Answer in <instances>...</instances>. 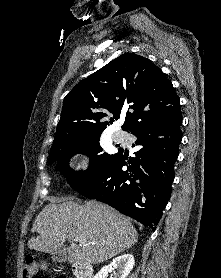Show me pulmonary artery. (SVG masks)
<instances>
[{"mask_svg": "<svg viewBox=\"0 0 221 278\" xmlns=\"http://www.w3.org/2000/svg\"><path fill=\"white\" fill-rule=\"evenodd\" d=\"M113 138H114V140H115L116 142H122V141H124V139H125L124 134H123L122 132H120V131L115 132V133L113 134Z\"/></svg>", "mask_w": 221, "mask_h": 278, "instance_id": "1", "label": "pulmonary artery"}]
</instances>
